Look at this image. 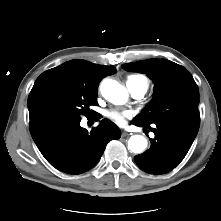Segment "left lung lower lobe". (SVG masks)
<instances>
[{"label":"left lung lower lobe","mask_w":221,"mask_h":221,"mask_svg":"<svg viewBox=\"0 0 221 221\" xmlns=\"http://www.w3.org/2000/svg\"><path fill=\"white\" fill-rule=\"evenodd\" d=\"M133 123L155 134V139H150V149L135 156L136 164L147 173L164 174L183 160L197 135L200 120L166 119L153 123L154 128L135 120Z\"/></svg>","instance_id":"left-lung-lower-lobe-1"}]
</instances>
